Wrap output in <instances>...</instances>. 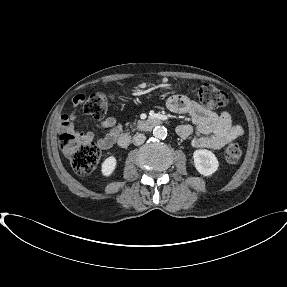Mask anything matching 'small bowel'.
Masks as SVG:
<instances>
[{"instance_id":"1","label":"small bowel","mask_w":287,"mask_h":287,"mask_svg":"<svg viewBox=\"0 0 287 287\" xmlns=\"http://www.w3.org/2000/svg\"><path fill=\"white\" fill-rule=\"evenodd\" d=\"M79 98L73 99V110L59 118L60 131H74V122L78 118ZM167 108L178 114L190 116L195 128L188 124L177 127V134L184 139H190L196 148L220 149L230 141L242 134L240 126L232 123L228 111L216 113L204 108L184 95H173L167 99ZM100 128L107 131L104 137L97 139V144L102 149L114 145L122 133V125L114 117H108L100 122ZM89 140L94 139V133H82Z\"/></svg>"}]
</instances>
